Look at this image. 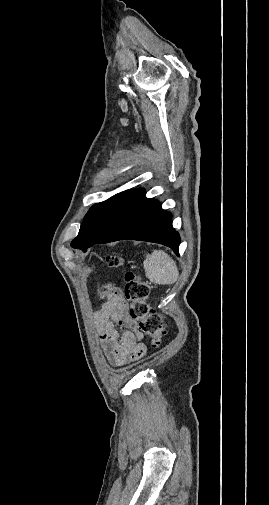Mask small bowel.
<instances>
[{
	"label": "small bowel",
	"mask_w": 269,
	"mask_h": 505,
	"mask_svg": "<svg viewBox=\"0 0 269 505\" xmlns=\"http://www.w3.org/2000/svg\"><path fill=\"white\" fill-rule=\"evenodd\" d=\"M105 299L95 312V322L104 352L113 366H123L145 355L147 348L141 342L143 334L128 311V303L121 289L108 286L103 292ZM117 326L124 328L119 333Z\"/></svg>",
	"instance_id": "small-bowel-1"
}]
</instances>
